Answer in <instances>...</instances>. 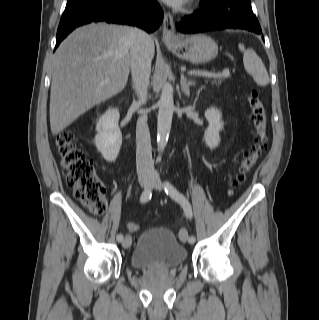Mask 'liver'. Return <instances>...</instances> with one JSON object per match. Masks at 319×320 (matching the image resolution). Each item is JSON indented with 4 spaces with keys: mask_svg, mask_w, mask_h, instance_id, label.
I'll list each match as a JSON object with an SVG mask.
<instances>
[{
    "mask_svg": "<svg viewBox=\"0 0 319 320\" xmlns=\"http://www.w3.org/2000/svg\"><path fill=\"white\" fill-rule=\"evenodd\" d=\"M130 29L105 22L92 23L75 29L60 44L51 65L53 135L125 88L131 65ZM154 52L151 40L152 58Z\"/></svg>",
    "mask_w": 319,
    "mask_h": 320,
    "instance_id": "6515ba94",
    "label": "liver"
}]
</instances>
